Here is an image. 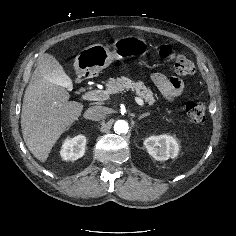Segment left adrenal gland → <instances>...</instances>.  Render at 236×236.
<instances>
[{
	"mask_svg": "<svg viewBox=\"0 0 236 236\" xmlns=\"http://www.w3.org/2000/svg\"><path fill=\"white\" fill-rule=\"evenodd\" d=\"M149 115H150L149 113L142 114V115L138 118V120H141L142 118L147 117V116H149Z\"/></svg>",
	"mask_w": 236,
	"mask_h": 236,
	"instance_id": "left-adrenal-gland-1",
	"label": "left adrenal gland"
}]
</instances>
